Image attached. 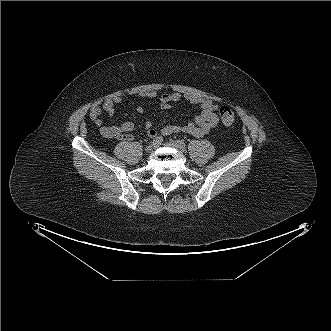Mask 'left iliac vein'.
Returning <instances> with one entry per match:
<instances>
[{
  "mask_svg": "<svg viewBox=\"0 0 331 331\" xmlns=\"http://www.w3.org/2000/svg\"><path fill=\"white\" fill-rule=\"evenodd\" d=\"M165 145L167 147L176 148L178 150L184 151V148H181L175 141H168L165 143Z\"/></svg>",
  "mask_w": 331,
  "mask_h": 331,
  "instance_id": "obj_1",
  "label": "left iliac vein"
}]
</instances>
